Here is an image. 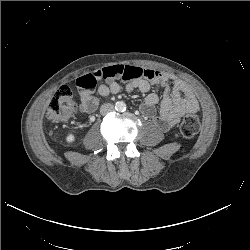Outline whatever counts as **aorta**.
Returning a JSON list of instances; mask_svg holds the SVG:
<instances>
[{
	"instance_id": "762f6f07",
	"label": "aorta",
	"mask_w": 250,
	"mask_h": 250,
	"mask_svg": "<svg viewBox=\"0 0 250 250\" xmlns=\"http://www.w3.org/2000/svg\"><path fill=\"white\" fill-rule=\"evenodd\" d=\"M115 110L118 112H124L126 110V104L123 101L116 102Z\"/></svg>"
}]
</instances>
